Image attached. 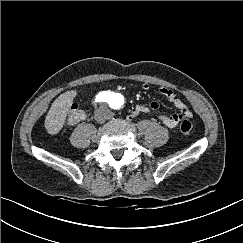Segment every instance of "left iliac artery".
<instances>
[{"mask_svg":"<svg viewBox=\"0 0 243 243\" xmlns=\"http://www.w3.org/2000/svg\"><path fill=\"white\" fill-rule=\"evenodd\" d=\"M119 104L120 103H119L118 97L116 95H114L112 100L110 101V106L112 108H118Z\"/></svg>","mask_w":243,"mask_h":243,"instance_id":"left-iliac-artery-1","label":"left iliac artery"}]
</instances>
